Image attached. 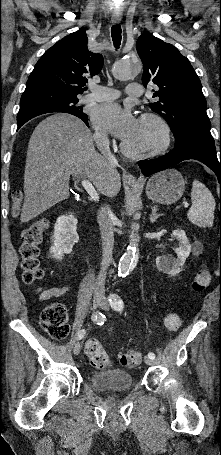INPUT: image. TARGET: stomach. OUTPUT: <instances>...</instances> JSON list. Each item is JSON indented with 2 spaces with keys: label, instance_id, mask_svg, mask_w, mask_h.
<instances>
[{
  "label": "stomach",
  "instance_id": "0dacf381",
  "mask_svg": "<svg viewBox=\"0 0 221 455\" xmlns=\"http://www.w3.org/2000/svg\"><path fill=\"white\" fill-rule=\"evenodd\" d=\"M185 190V180L175 169H167L153 175L146 184L149 199L159 204L170 205L177 202Z\"/></svg>",
  "mask_w": 221,
  "mask_h": 455
}]
</instances>
